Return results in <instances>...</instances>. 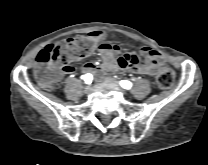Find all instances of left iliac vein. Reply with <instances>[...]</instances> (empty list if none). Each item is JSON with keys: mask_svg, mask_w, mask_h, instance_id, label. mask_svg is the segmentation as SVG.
<instances>
[{"mask_svg": "<svg viewBox=\"0 0 208 165\" xmlns=\"http://www.w3.org/2000/svg\"><path fill=\"white\" fill-rule=\"evenodd\" d=\"M104 81H105L107 84H109V85H111V86H113V87L118 88V89L121 90V88H120V86L118 85V83L115 82L112 78L107 77V78L104 79Z\"/></svg>", "mask_w": 208, "mask_h": 165, "instance_id": "obj_1", "label": "left iliac vein"}]
</instances>
